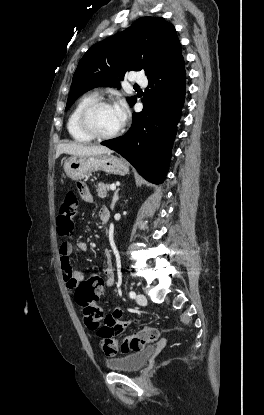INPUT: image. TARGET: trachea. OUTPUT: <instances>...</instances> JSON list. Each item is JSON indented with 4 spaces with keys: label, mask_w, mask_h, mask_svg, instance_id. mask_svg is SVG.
Here are the masks:
<instances>
[{
    "label": "trachea",
    "mask_w": 264,
    "mask_h": 415,
    "mask_svg": "<svg viewBox=\"0 0 264 415\" xmlns=\"http://www.w3.org/2000/svg\"><path fill=\"white\" fill-rule=\"evenodd\" d=\"M134 87H138V85H134Z\"/></svg>",
    "instance_id": "3493384b"
}]
</instances>
